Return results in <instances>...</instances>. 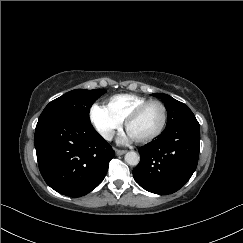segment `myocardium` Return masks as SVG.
Segmentation results:
<instances>
[{
    "instance_id": "1",
    "label": "myocardium",
    "mask_w": 243,
    "mask_h": 243,
    "mask_svg": "<svg viewBox=\"0 0 243 243\" xmlns=\"http://www.w3.org/2000/svg\"><path fill=\"white\" fill-rule=\"evenodd\" d=\"M151 104H158L162 108V112H163L162 122L159 128L153 134H151L150 136L144 139L135 140V142L138 144H147L157 139L165 130L168 122V109L165 103L158 99H151L138 106L128 115V117L125 120L126 130L128 131L130 124L133 123L135 120H137L141 116L143 111Z\"/></svg>"
}]
</instances>
